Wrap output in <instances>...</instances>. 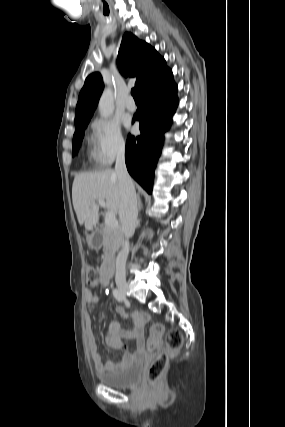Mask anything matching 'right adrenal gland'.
<instances>
[{"label": "right adrenal gland", "mask_w": 285, "mask_h": 427, "mask_svg": "<svg viewBox=\"0 0 285 427\" xmlns=\"http://www.w3.org/2000/svg\"><path fill=\"white\" fill-rule=\"evenodd\" d=\"M142 208V201H141V197L138 196V210L140 211Z\"/></svg>", "instance_id": "obj_1"}]
</instances>
